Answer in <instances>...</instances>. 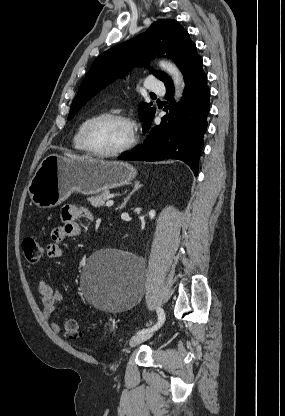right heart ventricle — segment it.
Returning <instances> with one entry per match:
<instances>
[{"label":"right heart ventricle","mask_w":285,"mask_h":416,"mask_svg":"<svg viewBox=\"0 0 285 416\" xmlns=\"http://www.w3.org/2000/svg\"><path fill=\"white\" fill-rule=\"evenodd\" d=\"M92 116H93V115H91V116H87V117L83 118V119L79 122V124H78V126H77V128H76V130H75V132H74L73 139H72L73 147H74L76 150H78V151H80V152H83V153L87 152V150L85 149V147L83 146V143H82V131H83V128H84V126H85L86 122H87V121H88V120H89Z\"/></svg>","instance_id":"1"}]
</instances>
